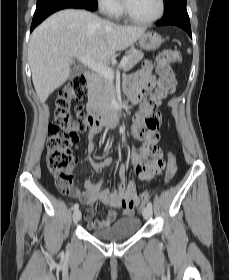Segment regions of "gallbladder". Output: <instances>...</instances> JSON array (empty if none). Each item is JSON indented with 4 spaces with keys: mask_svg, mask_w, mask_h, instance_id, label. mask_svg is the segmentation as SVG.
<instances>
[{
    "mask_svg": "<svg viewBox=\"0 0 229 280\" xmlns=\"http://www.w3.org/2000/svg\"><path fill=\"white\" fill-rule=\"evenodd\" d=\"M81 73H82V70L75 67V68H73V69L71 70V73H70L69 78H73V77H75V76H77V75H80Z\"/></svg>",
    "mask_w": 229,
    "mask_h": 280,
    "instance_id": "obj_1",
    "label": "gallbladder"
}]
</instances>
